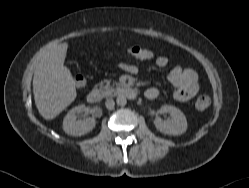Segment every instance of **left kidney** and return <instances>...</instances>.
Returning a JSON list of instances; mask_svg holds the SVG:
<instances>
[{"instance_id":"left-kidney-1","label":"left kidney","mask_w":249,"mask_h":188,"mask_svg":"<svg viewBox=\"0 0 249 188\" xmlns=\"http://www.w3.org/2000/svg\"><path fill=\"white\" fill-rule=\"evenodd\" d=\"M160 113H170L172 115L171 120L163 121L160 117H156L154 124L160 132L167 135H181L187 130V120L183 112L171 105H163L160 109Z\"/></svg>"}]
</instances>
